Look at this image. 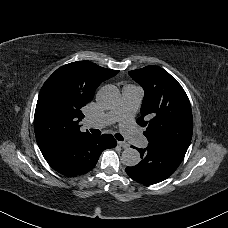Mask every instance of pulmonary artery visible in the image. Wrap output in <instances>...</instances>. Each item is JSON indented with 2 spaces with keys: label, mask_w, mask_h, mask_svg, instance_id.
Here are the masks:
<instances>
[{
  "label": "pulmonary artery",
  "mask_w": 228,
  "mask_h": 228,
  "mask_svg": "<svg viewBox=\"0 0 228 228\" xmlns=\"http://www.w3.org/2000/svg\"><path fill=\"white\" fill-rule=\"evenodd\" d=\"M124 98L126 101L123 104L120 103L112 114L104 117L103 126L122 120L119 128L120 133L133 145L140 148L144 147L147 142L146 138L133 129L135 114L138 110V101L141 99V92L138 89H126L124 91Z\"/></svg>",
  "instance_id": "e3ab8cb5"
}]
</instances>
